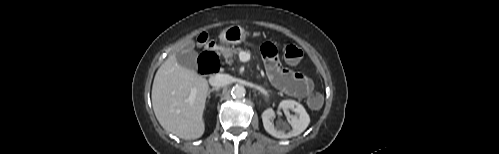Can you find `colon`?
<instances>
[{"instance_id": "obj_1", "label": "colon", "mask_w": 499, "mask_h": 154, "mask_svg": "<svg viewBox=\"0 0 499 154\" xmlns=\"http://www.w3.org/2000/svg\"><path fill=\"white\" fill-rule=\"evenodd\" d=\"M207 39H208V37L206 34H202L199 36V41L202 43L206 42ZM209 55L211 58L213 71L214 72L218 71L220 68L219 56L216 55L215 53H210ZM283 55H284V58H285L287 63L296 64L302 59L303 52L298 46H296L294 44H288L283 49ZM307 102L311 108H314V109L320 108L323 104V96L319 92L313 91L308 96Z\"/></svg>"}]
</instances>
